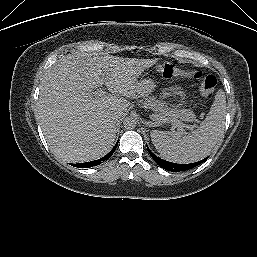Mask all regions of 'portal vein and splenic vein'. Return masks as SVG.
<instances>
[{
    "mask_svg": "<svg viewBox=\"0 0 257 257\" xmlns=\"http://www.w3.org/2000/svg\"><path fill=\"white\" fill-rule=\"evenodd\" d=\"M93 94H94V96H102L103 94H105V91L102 88H99L95 92H93ZM159 120L171 123L172 127L177 129V134H179V135H182V134L185 133L184 128H190L191 130L194 128V126H187V125H185L180 120L168 121L167 118H162V117H159Z\"/></svg>",
    "mask_w": 257,
    "mask_h": 257,
    "instance_id": "obj_1",
    "label": "portal vein and splenic vein"
}]
</instances>
